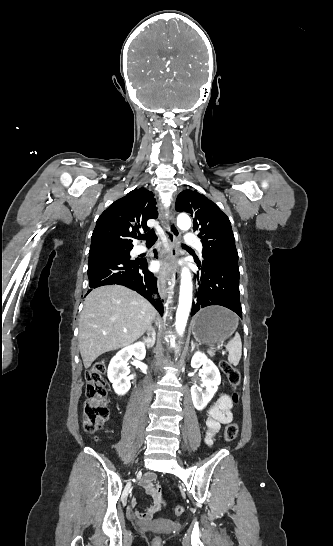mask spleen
Wrapping results in <instances>:
<instances>
[{
  "instance_id": "spleen-1",
  "label": "spleen",
  "mask_w": 333,
  "mask_h": 546,
  "mask_svg": "<svg viewBox=\"0 0 333 546\" xmlns=\"http://www.w3.org/2000/svg\"><path fill=\"white\" fill-rule=\"evenodd\" d=\"M235 318L238 324V317L236 315ZM226 349L229 352V363L237 366L242 355V342L239 333H236L235 336L227 343Z\"/></svg>"
}]
</instances>
